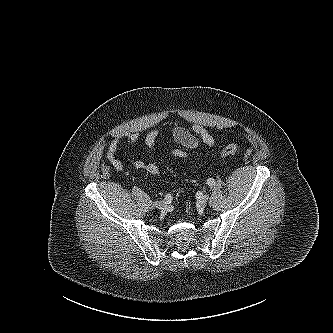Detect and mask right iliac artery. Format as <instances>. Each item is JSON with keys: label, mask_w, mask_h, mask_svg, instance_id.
<instances>
[{"label": "right iliac artery", "mask_w": 333, "mask_h": 333, "mask_svg": "<svg viewBox=\"0 0 333 333\" xmlns=\"http://www.w3.org/2000/svg\"><path fill=\"white\" fill-rule=\"evenodd\" d=\"M164 201L169 204L172 201V196L170 194H167L164 198Z\"/></svg>", "instance_id": "right-iliac-artery-1"}]
</instances>
